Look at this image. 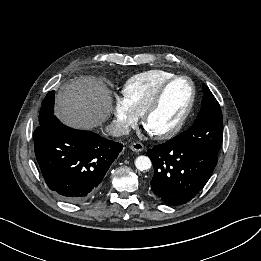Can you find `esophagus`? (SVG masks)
<instances>
[{
	"label": "esophagus",
	"instance_id": "esophagus-1",
	"mask_svg": "<svg viewBox=\"0 0 261 261\" xmlns=\"http://www.w3.org/2000/svg\"><path fill=\"white\" fill-rule=\"evenodd\" d=\"M130 148L135 152H141L144 150V145L140 142H134L131 144Z\"/></svg>",
	"mask_w": 261,
	"mask_h": 261
}]
</instances>
